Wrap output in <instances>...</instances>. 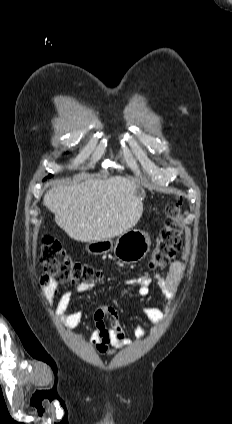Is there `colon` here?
Masks as SVG:
<instances>
[{
	"mask_svg": "<svg viewBox=\"0 0 232 424\" xmlns=\"http://www.w3.org/2000/svg\"><path fill=\"white\" fill-rule=\"evenodd\" d=\"M183 234L181 202L167 206L165 220L155 241L150 267H163L176 256ZM39 262L44 269L41 284L50 287L65 282H90L103 278L102 272L91 265L73 258L55 239L45 236L42 241Z\"/></svg>",
	"mask_w": 232,
	"mask_h": 424,
	"instance_id": "1",
	"label": "colon"
}]
</instances>
